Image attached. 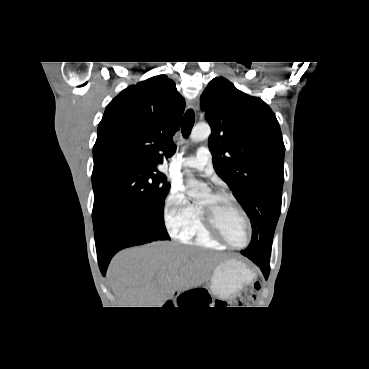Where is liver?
I'll return each instance as SVG.
<instances>
[{
	"label": "liver",
	"instance_id": "1",
	"mask_svg": "<svg viewBox=\"0 0 369 369\" xmlns=\"http://www.w3.org/2000/svg\"><path fill=\"white\" fill-rule=\"evenodd\" d=\"M221 256L173 242H153L119 252L108 268L121 307H163L176 291L201 284Z\"/></svg>",
	"mask_w": 369,
	"mask_h": 369
}]
</instances>
